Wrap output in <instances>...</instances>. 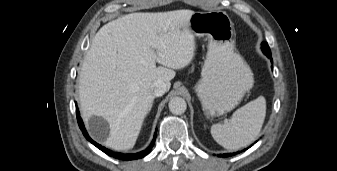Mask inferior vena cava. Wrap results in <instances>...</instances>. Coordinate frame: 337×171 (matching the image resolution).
I'll list each match as a JSON object with an SVG mask.
<instances>
[{
  "mask_svg": "<svg viewBox=\"0 0 337 171\" xmlns=\"http://www.w3.org/2000/svg\"><path fill=\"white\" fill-rule=\"evenodd\" d=\"M151 90L155 97L162 96L167 91V84L161 80L155 81L151 85Z\"/></svg>",
  "mask_w": 337,
  "mask_h": 171,
  "instance_id": "1",
  "label": "inferior vena cava"
}]
</instances>
